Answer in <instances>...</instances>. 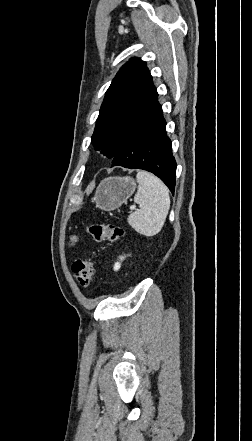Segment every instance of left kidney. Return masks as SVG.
<instances>
[{
	"label": "left kidney",
	"instance_id": "5707ae66",
	"mask_svg": "<svg viewBox=\"0 0 252 441\" xmlns=\"http://www.w3.org/2000/svg\"><path fill=\"white\" fill-rule=\"evenodd\" d=\"M123 260H124V257L121 256V257H120V261H123ZM120 267H121V263H120V262H116V263L114 264V271H118V270L120 269Z\"/></svg>",
	"mask_w": 252,
	"mask_h": 441
}]
</instances>
